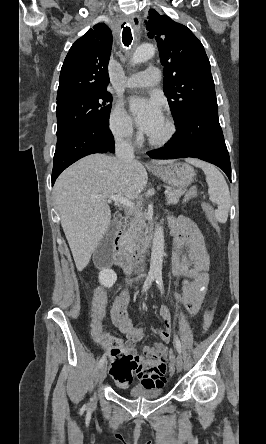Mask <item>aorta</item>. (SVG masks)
Returning a JSON list of instances; mask_svg holds the SVG:
<instances>
[{"label":"aorta","mask_w":266,"mask_h":444,"mask_svg":"<svg viewBox=\"0 0 266 444\" xmlns=\"http://www.w3.org/2000/svg\"><path fill=\"white\" fill-rule=\"evenodd\" d=\"M155 54V47L151 44L140 45L132 55L131 64H139L150 59ZM164 255V232L160 225L155 228L150 260V273L161 274Z\"/></svg>","instance_id":"1"}]
</instances>
